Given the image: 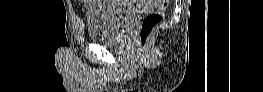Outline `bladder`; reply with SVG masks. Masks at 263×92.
Here are the masks:
<instances>
[{"label": "bladder", "instance_id": "1", "mask_svg": "<svg viewBox=\"0 0 263 92\" xmlns=\"http://www.w3.org/2000/svg\"><path fill=\"white\" fill-rule=\"evenodd\" d=\"M97 5L86 17L89 39L105 45L115 46L123 39L138 12L118 6L119 1H94Z\"/></svg>", "mask_w": 263, "mask_h": 92}]
</instances>
